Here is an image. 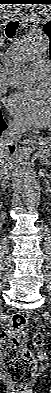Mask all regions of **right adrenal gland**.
Returning <instances> with one entry per match:
<instances>
[{
	"mask_svg": "<svg viewBox=\"0 0 51 393\" xmlns=\"http://www.w3.org/2000/svg\"><path fill=\"white\" fill-rule=\"evenodd\" d=\"M7 187H8L7 181L1 180V183H0V191H1V192H5V189H6Z\"/></svg>",
	"mask_w": 51,
	"mask_h": 393,
	"instance_id": "right-adrenal-gland-1",
	"label": "right adrenal gland"
}]
</instances>
